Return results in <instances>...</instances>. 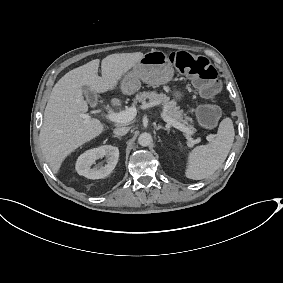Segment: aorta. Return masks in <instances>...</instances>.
Masks as SVG:
<instances>
[{
	"instance_id": "obj_1",
	"label": "aorta",
	"mask_w": 283,
	"mask_h": 283,
	"mask_svg": "<svg viewBox=\"0 0 283 283\" xmlns=\"http://www.w3.org/2000/svg\"><path fill=\"white\" fill-rule=\"evenodd\" d=\"M151 142H152V136L147 132L141 133L138 137V143L141 146L146 147V146L150 145Z\"/></svg>"
}]
</instances>
